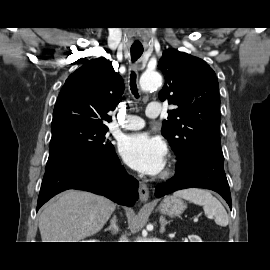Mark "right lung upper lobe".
<instances>
[{"instance_id":"cb5924a9","label":"right lung upper lobe","mask_w":270,"mask_h":270,"mask_svg":"<svg viewBox=\"0 0 270 270\" xmlns=\"http://www.w3.org/2000/svg\"><path fill=\"white\" fill-rule=\"evenodd\" d=\"M124 91L122 77L104 57L85 63L66 80L53 111L51 126L68 122L106 126Z\"/></svg>"}]
</instances>
